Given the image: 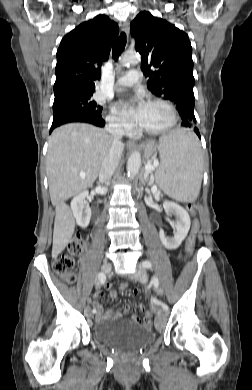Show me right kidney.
Returning a JSON list of instances; mask_svg holds the SVG:
<instances>
[{
	"mask_svg": "<svg viewBox=\"0 0 252 390\" xmlns=\"http://www.w3.org/2000/svg\"><path fill=\"white\" fill-rule=\"evenodd\" d=\"M87 196L88 191H84L75 196L71 201V210L73 216L76 219L77 225H79L81 228H86L89 225L92 214L89 204L85 202V198Z\"/></svg>",
	"mask_w": 252,
	"mask_h": 390,
	"instance_id": "right-kidney-1",
	"label": "right kidney"
}]
</instances>
